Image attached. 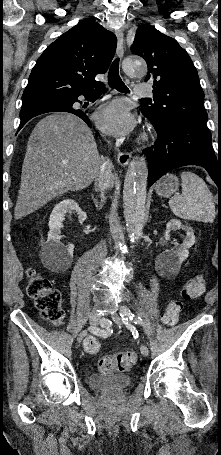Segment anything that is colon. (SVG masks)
Listing matches in <instances>:
<instances>
[{
  "instance_id": "1",
  "label": "colon",
  "mask_w": 221,
  "mask_h": 455,
  "mask_svg": "<svg viewBox=\"0 0 221 455\" xmlns=\"http://www.w3.org/2000/svg\"><path fill=\"white\" fill-rule=\"evenodd\" d=\"M28 286L27 294L35 299V305L42 317L53 325H61L65 312L62 307L60 292L52 287L50 280L35 269L27 271ZM206 289V281L197 276L188 280L182 287L180 297L171 300L162 315V322L172 327L183 310V302L195 299L203 295ZM84 349L90 355H96L100 350V344L94 337H88L84 341ZM137 362V354L134 351H126L113 355H106L97 360V367L104 373L122 372L132 368Z\"/></svg>"
}]
</instances>
